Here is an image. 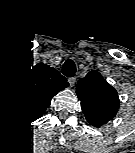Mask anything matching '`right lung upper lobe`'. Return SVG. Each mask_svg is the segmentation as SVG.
<instances>
[{
  "label": "right lung upper lobe",
  "instance_id": "obj_1",
  "mask_svg": "<svg viewBox=\"0 0 135 153\" xmlns=\"http://www.w3.org/2000/svg\"><path fill=\"white\" fill-rule=\"evenodd\" d=\"M67 86V80L54 68L40 66L33 69L20 84L25 113L37 117L48 107L51 98Z\"/></svg>",
  "mask_w": 135,
  "mask_h": 153
}]
</instances>
